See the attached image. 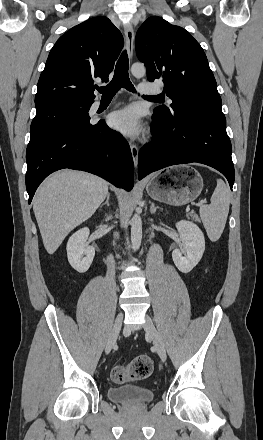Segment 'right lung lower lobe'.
I'll list each match as a JSON object with an SVG mask.
<instances>
[{
    "label": "right lung lower lobe",
    "mask_w": 263,
    "mask_h": 440,
    "mask_svg": "<svg viewBox=\"0 0 263 440\" xmlns=\"http://www.w3.org/2000/svg\"><path fill=\"white\" fill-rule=\"evenodd\" d=\"M26 189L29 204L40 183L63 168L98 175L130 191L134 165L128 143L104 121L60 128L29 142L26 151Z\"/></svg>",
    "instance_id": "1"
}]
</instances>
